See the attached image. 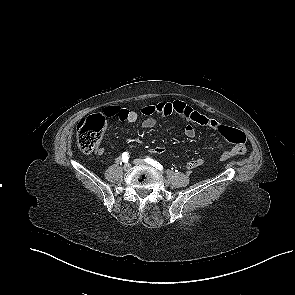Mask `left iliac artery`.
<instances>
[{"mask_svg":"<svg viewBox=\"0 0 295 295\" xmlns=\"http://www.w3.org/2000/svg\"><path fill=\"white\" fill-rule=\"evenodd\" d=\"M144 160H145L146 163L152 165L156 169H158L160 171L163 170V166L159 162L155 161L154 159H151V158L147 157Z\"/></svg>","mask_w":295,"mask_h":295,"instance_id":"44dca946","label":"left iliac artery"}]
</instances>
